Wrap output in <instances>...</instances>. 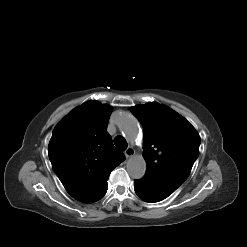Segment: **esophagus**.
<instances>
[{
  "label": "esophagus",
  "instance_id": "obj_1",
  "mask_svg": "<svg viewBox=\"0 0 247 247\" xmlns=\"http://www.w3.org/2000/svg\"><path fill=\"white\" fill-rule=\"evenodd\" d=\"M124 154H125L126 158L132 157L135 154V150L133 149V147H128L124 151Z\"/></svg>",
  "mask_w": 247,
  "mask_h": 247
}]
</instances>
